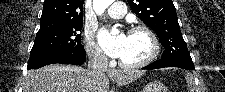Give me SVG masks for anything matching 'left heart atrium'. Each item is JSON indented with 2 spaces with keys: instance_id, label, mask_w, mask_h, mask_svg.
I'll use <instances>...</instances> for the list:
<instances>
[{
  "instance_id": "1",
  "label": "left heart atrium",
  "mask_w": 225,
  "mask_h": 92,
  "mask_svg": "<svg viewBox=\"0 0 225 92\" xmlns=\"http://www.w3.org/2000/svg\"><path fill=\"white\" fill-rule=\"evenodd\" d=\"M127 34L120 33L112 36L108 30H102L99 35L100 44L107 55L120 58L124 51Z\"/></svg>"
}]
</instances>
